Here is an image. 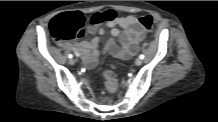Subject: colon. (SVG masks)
Masks as SVG:
<instances>
[{
    "label": "colon",
    "instance_id": "colon-1",
    "mask_svg": "<svg viewBox=\"0 0 218 122\" xmlns=\"http://www.w3.org/2000/svg\"><path fill=\"white\" fill-rule=\"evenodd\" d=\"M139 20L145 29H151L153 25V18L151 15H144ZM84 24L85 18L82 13L78 11L68 12L55 17L51 21L50 31L56 40L64 42L82 36ZM103 76L107 90L114 92L118 87V79L114 70H106Z\"/></svg>",
    "mask_w": 218,
    "mask_h": 122
}]
</instances>
